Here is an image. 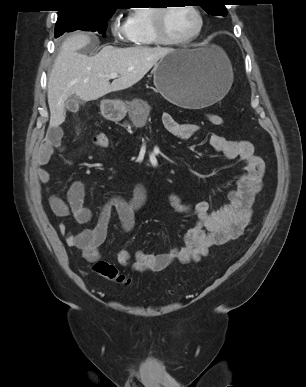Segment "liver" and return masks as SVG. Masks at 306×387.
Instances as JSON below:
<instances>
[{
    "instance_id": "obj_1",
    "label": "liver",
    "mask_w": 306,
    "mask_h": 387,
    "mask_svg": "<svg viewBox=\"0 0 306 387\" xmlns=\"http://www.w3.org/2000/svg\"><path fill=\"white\" fill-rule=\"evenodd\" d=\"M90 42L88 35L76 33L67 37L60 47L47 86L50 127H58L65 121V101L70 96L91 101L110 92L130 88L174 50L106 45L94 56L80 53ZM111 73L119 75L112 83L108 78Z\"/></svg>"
}]
</instances>
